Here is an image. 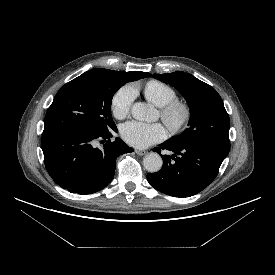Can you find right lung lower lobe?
I'll list each match as a JSON object with an SVG mask.
<instances>
[{"mask_svg":"<svg viewBox=\"0 0 275 275\" xmlns=\"http://www.w3.org/2000/svg\"><path fill=\"white\" fill-rule=\"evenodd\" d=\"M112 131L94 134L72 127L44 128L42 150L52 179L71 193L91 194L105 188L113 179L116 158L133 152L120 138L111 142ZM95 147L96 141L104 143Z\"/></svg>","mask_w":275,"mask_h":275,"instance_id":"98d812e1","label":"right lung lower lobe"}]
</instances>
